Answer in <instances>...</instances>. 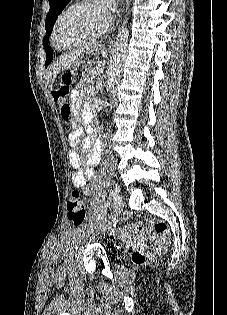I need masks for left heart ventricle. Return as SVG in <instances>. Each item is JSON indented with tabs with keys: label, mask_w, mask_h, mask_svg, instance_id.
<instances>
[{
	"label": "left heart ventricle",
	"mask_w": 227,
	"mask_h": 315,
	"mask_svg": "<svg viewBox=\"0 0 227 315\" xmlns=\"http://www.w3.org/2000/svg\"><path fill=\"white\" fill-rule=\"evenodd\" d=\"M106 24L104 14L97 2L70 10L61 20L56 43L60 47L79 44L96 35Z\"/></svg>",
	"instance_id": "1"
}]
</instances>
